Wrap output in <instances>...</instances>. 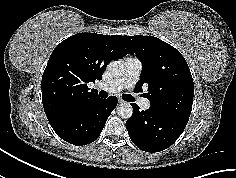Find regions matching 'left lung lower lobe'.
Returning <instances> with one entry per match:
<instances>
[{"instance_id":"obj_1","label":"left lung lower lobe","mask_w":236,"mask_h":178,"mask_svg":"<svg viewBox=\"0 0 236 178\" xmlns=\"http://www.w3.org/2000/svg\"><path fill=\"white\" fill-rule=\"evenodd\" d=\"M131 105L133 114L126 122V129L132 142L146 152H159L170 147L189 121V117L152 106L139 111L135 103Z\"/></svg>"}]
</instances>
